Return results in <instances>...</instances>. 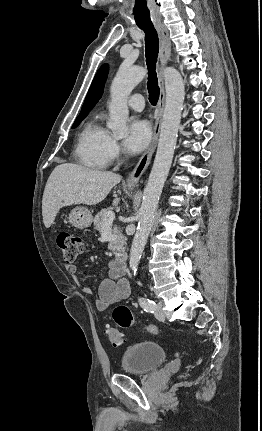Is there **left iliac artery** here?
<instances>
[{"label":"left iliac artery","instance_id":"1","mask_svg":"<svg viewBox=\"0 0 262 431\" xmlns=\"http://www.w3.org/2000/svg\"><path fill=\"white\" fill-rule=\"evenodd\" d=\"M138 301L140 306L146 311V312H153L156 308L155 301L144 298V297H138Z\"/></svg>","mask_w":262,"mask_h":431}]
</instances>
